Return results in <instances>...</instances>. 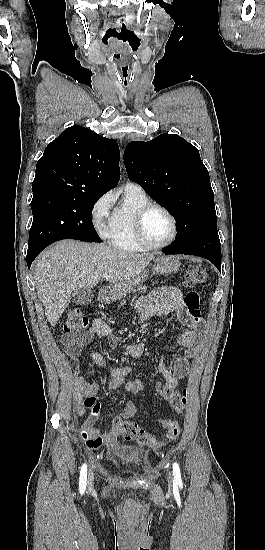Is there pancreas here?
Instances as JSON below:
<instances>
[{
  "label": "pancreas",
  "instance_id": "1",
  "mask_svg": "<svg viewBox=\"0 0 265 550\" xmlns=\"http://www.w3.org/2000/svg\"><path fill=\"white\" fill-rule=\"evenodd\" d=\"M137 291L145 292V291H146V288H145V287L138 286ZM133 292H134V290H133Z\"/></svg>",
  "mask_w": 265,
  "mask_h": 550
}]
</instances>
